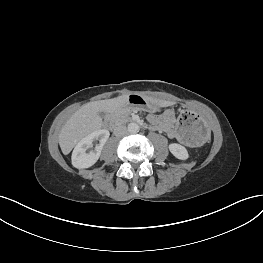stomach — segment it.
<instances>
[{
	"label": "stomach",
	"instance_id": "obj_1",
	"mask_svg": "<svg viewBox=\"0 0 263 263\" xmlns=\"http://www.w3.org/2000/svg\"><path fill=\"white\" fill-rule=\"evenodd\" d=\"M158 106L152 101L147 100L140 95L129 96L126 109H145L155 110ZM163 117L166 121H173L174 130L181 132L183 140L192 145H202L206 143L210 137V130L199 117L198 113L192 109L181 111L175 119V112L172 108L163 110Z\"/></svg>",
	"mask_w": 263,
	"mask_h": 263
}]
</instances>
